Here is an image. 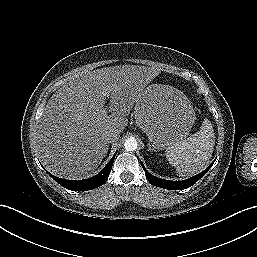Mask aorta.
I'll return each instance as SVG.
<instances>
[{"label": "aorta", "instance_id": "762f6f07", "mask_svg": "<svg viewBox=\"0 0 257 257\" xmlns=\"http://www.w3.org/2000/svg\"><path fill=\"white\" fill-rule=\"evenodd\" d=\"M124 147L127 151H134L137 149V141L134 138H129L125 141Z\"/></svg>", "mask_w": 257, "mask_h": 257}]
</instances>
